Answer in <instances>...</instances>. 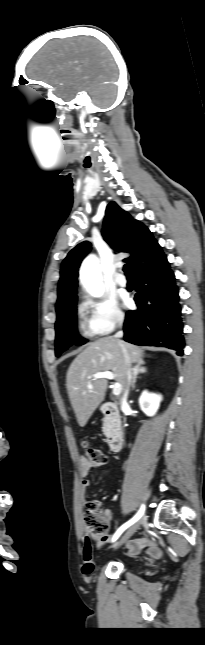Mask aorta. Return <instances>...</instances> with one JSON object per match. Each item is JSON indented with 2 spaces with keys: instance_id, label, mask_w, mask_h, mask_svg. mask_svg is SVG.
<instances>
[{
  "instance_id": "762f6f07",
  "label": "aorta",
  "mask_w": 205,
  "mask_h": 645,
  "mask_svg": "<svg viewBox=\"0 0 205 645\" xmlns=\"http://www.w3.org/2000/svg\"><path fill=\"white\" fill-rule=\"evenodd\" d=\"M80 279L88 293L93 297L103 296L104 287L99 264L95 256L90 255L83 261L80 269Z\"/></svg>"
}]
</instances>
